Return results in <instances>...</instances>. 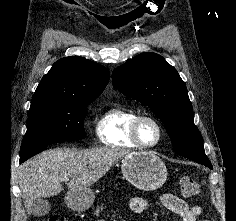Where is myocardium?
Returning a JSON list of instances; mask_svg holds the SVG:
<instances>
[{
	"instance_id": "f54148a6",
	"label": "myocardium",
	"mask_w": 236,
	"mask_h": 221,
	"mask_svg": "<svg viewBox=\"0 0 236 221\" xmlns=\"http://www.w3.org/2000/svg\"><path fill=\"white\" fill-rule=\"evenodd\" d=\"M144 121H149V122L153 123L155 125V127L157 128V132H158L157 139L155 142H153L151 144H146V143L142 142V140L140 139V136H139L140 126H141L142 122H144ZM163 135H164V130H163L162 124L154 116L139 115L131 123L130 138L139 148L150 149V148L156 147L161 142Z\"/></svg>"
}]
</instances>
